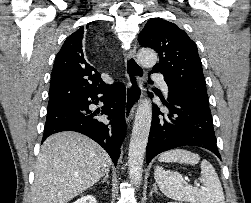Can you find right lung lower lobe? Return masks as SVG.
Listing matches in <instances>:
<instances>
[{"mask_svg": "<svg viewBox=\"0 0 251 203\" xmlns=\"http://www.w3.org/2000/svg\"><path fill=\"white\" fill-rule=\"evenodd\" d=\"M103 96L98 98V95ZM126 88L121 82L91 88L72 101L48 109L42 142L62 131L82 133L100 144L117 164L121 142L124 139ZM104 103L102 111L92 112L90 104ZM105 116L109 123L99 116Z\"/></svg>", "mask_w": 251, "mask_h": 203, "instance_id": "right-lung-lower-lobe-1", "label": "right lung lower lobe"}]
</instances>
